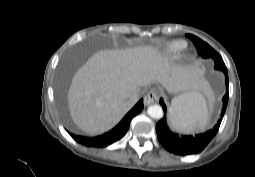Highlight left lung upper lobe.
Here are the masks:
<instances>
[{"instance_id": "left-lung-upper-lobe-1", "label": "left lung upper lobe", "mask_w": 255, "mask_h": 177, "mask_svg": "<svg viewBox=\"0 0 255 177\" xmlns=\"http://www.w3.org/2000/svg\"><path fill=\"white\" fill-rule=\"evenodd\" d=\"M194 43L196 46L198 53L203 57V58H213L215 61V68L218 70H222L225 73V76L228 75L227 73V68L223 62V59L221 56L213 49L211 48L206 42L202 41L198 37L194 35H187Z\"/></svg>"}]
</instances>
